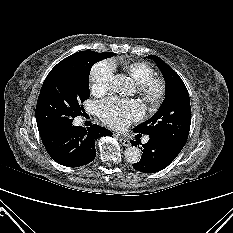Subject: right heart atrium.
<instances>
[{
    "label": "right heart atrium",
    "mask_w": 233,
    "mask_h": 233,
    "mask_svg": "<svg viewBox=\"0 0 233 233\" xmlns=\"http://www.w3.org/2000/svg\"><path fill=\"white\" fill-rule=\"evenodd\" d=\"M115 65L109 60L96 63L90 72L91 90L95 95L105 94L111 87Z\"/></svg>",
    "instance_id": "d8ad5b80"
}]
</instances>
